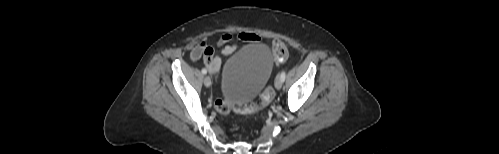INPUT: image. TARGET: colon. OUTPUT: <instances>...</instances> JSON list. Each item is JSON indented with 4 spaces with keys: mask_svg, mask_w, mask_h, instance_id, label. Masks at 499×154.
<instances>
[{
    "mask_svg": "<svg viewBox=\"0 0 499 154\" xmlns=\"http://www.w3.org/2000/svg\"><path fill=\"white\" fill-rule=\"evenodd\" d=\"M195 54L202 56L204 61H209L214 55V50L200 44L197 46ZM273 56L277 63L284 62L287 59L288 50L283 42L278 40L274 41ZM273 96L272 90L270 88H266L257 103L252 101L246 103H229L225 99H218L215 102V110L221 115H227L231 112L239 114H254L266 108L271 103Z\"/></svg>",
    "mask_w": 499,
    "mask_h": 154,
    "instance_id": "colon-1",
    "label": "colon"
}]
</instances>
